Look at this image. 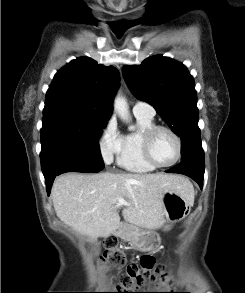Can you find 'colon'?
Wrapping results in <instances>:
<instances>
[{
    "label": "colon",
    "instance_id": "obj_1",
    "mask_svg": "<svg viewBox=\"0 0 245 293\" xmlns=\"http://www.w3.org/2000/svg\"><path fill=\"white\" fill-rule=\"evenodd\" d=\"M108 252L100 258L102 263H108L112 266L120 267L125 264V257L115 250L117 239L108 237L105 242ZM155 259L151 256H142L137 262H130L126 266V273L120 278V282L125 289L133 285H141L145 280L153 278L158 272L155 270ZM131 293V292H118ZM135 293V292H133ZM136 293H153V292H136ZM186 293V292H185Z\"/></svg>",
    "mask_w": 245,
    "mask_h": 293
}]
</instances>
